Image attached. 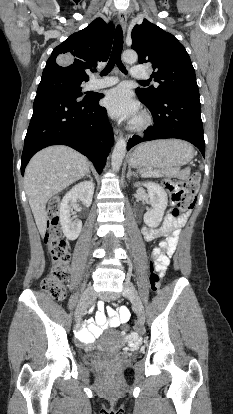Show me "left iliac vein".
Wrapping results in <instances>:
<instances>
[{"mask_svg":"<svg viewBox=\"0 0 233 414\" xmlns=\"http://www.w3.org/2000/svg\"><path fill=\"white\" fill-rule=\"evenodd\" d=\"M123 296L128 298L133 306L137 315V319L140 325L144 323L145 320V311L143 304L138 296V293L131 282H125L123 286Z\"/></svg>","mask_w":233,"mask_h":414,"instance_id":"1","label":"left iliac vein"}]
</instances>
